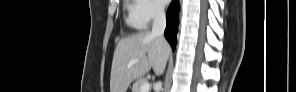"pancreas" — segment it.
Here are the masks:
<instances>
[{"label":"pancreas","instance_id":"1","mask_svg":"<svg viewBox=\"0 0 296 92\" xmlns=\"http://www.w3.org/2000/svg\"><path fill=\"white\" fill-rule=\"evenodd\" d=\"M147 82L146 78H139L137 81H135V83L133 84L132 87V92H141V86L143 83Z\"/></svg>","mask_w":296,"mask_h":92}]
</instances>
